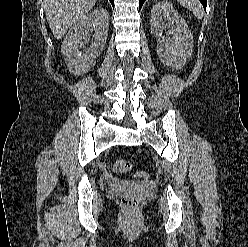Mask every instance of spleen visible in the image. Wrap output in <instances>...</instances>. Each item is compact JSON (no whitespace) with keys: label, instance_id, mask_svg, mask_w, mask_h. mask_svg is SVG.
<instances>
[{"label":"spleen","instance_id":"3e777b00","mask_svg":"<svg viewBox=\"0 0 248 247\" xmlns=\"http://www.w3.org/2000/svg\"><path fill=\"white\" fill-rule=\"evenodd\" d=\"M182 6L189 8L193 14L201 19L203 17V9L198 0H177Z\"/></svg>","mask_w":248,"mask_h":247}]
</instances>
